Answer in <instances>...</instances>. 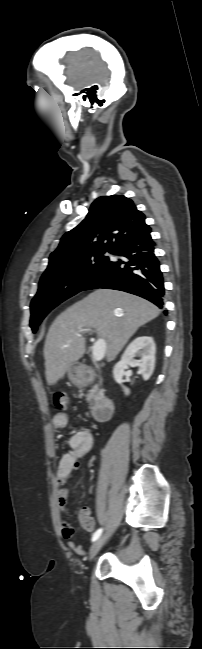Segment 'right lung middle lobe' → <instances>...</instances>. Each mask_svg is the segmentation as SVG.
I'll list each match as a JSON object with an SVG mask.
<instances>
[{"instance_id":"right-lung-middle-lobe-1","label":"right lung middle lobe","mask_w":202,"mask_h":649,"mask_svg":"<svg viewBox=\"0 0 202 649\" xmlns=\"http://www.w3.org/2000/svg\"><path fill=\"white\" fill-rule=\"evenodd\" d=\"M105 252L93 251L68 262L60 272L41 277L38 292L31 302L30 327L33 333L44 317L57 305L78 292L109 262ZM112 253V252H110Z\"/></svg>"}]
</instances>
